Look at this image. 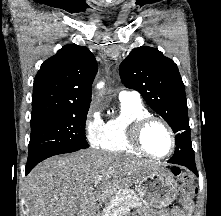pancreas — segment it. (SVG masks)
<instances>
[{
  "label": "pancreas",
  "instance_id": "pancreas-1",
  "mask_svg": "<svg viewBox=\"0 0 221 216\" xmlns=\"http://www.w3.org/2000/svg\"><path fill=\"white\" fill-rule=\"evenodd\" d=\"M140 205V199L132 190L115 195L104 208L100 216H123L130 211L131 208Z\"/></svg>",
  "mask_w": 221,
  "mask_h": 216
}]
</instances>
